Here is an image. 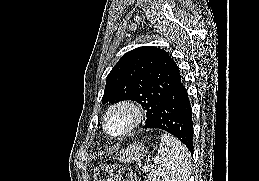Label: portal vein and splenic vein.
I'll list each match as a JSON object with an SVG mask.
<instances>
[{
  "label": "portal vein and splenic vein",
  "mask_w": 259,
  "mask_h": 181,
  "mask_svg": "<svg viewBox=\"0 0 259 181\" xmlns=\"http://www.w3.org/2000/svg\"><path fill=\"white\" fill-rule=\"evenodd\" d=\"M143 170H144L145 172H147V171L149 170V168H148L147 166H145V167L143 168Z\"/></svg>",
  "instance_id": "obj_1"
}]
</instances>
